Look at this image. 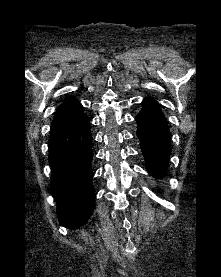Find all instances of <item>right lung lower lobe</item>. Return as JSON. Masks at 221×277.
Here are the masks:
<instances>
[{
	"label": "right lung lower lobe",
	"instance_id": "1",
	"mask_svg": "<svg viewBox=\"0 0 221 277\" xmlns=\"http://www.w3.org/2000/svg\"><path fill=\"white\" fill-rule=\"evenodd\" d=\"M83 107L67 98L55 112L49 137L50 190L59 223L69 229L83 225L94 210L92 135Z\"/></svg>",
	"mask_w": 221,
	"mask_h": 277
}]
</instances>
